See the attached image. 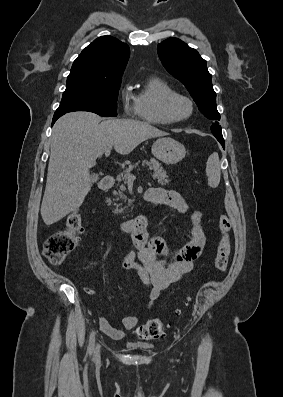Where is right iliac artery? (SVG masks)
I'll use <instances>...</instances> for the list:
<instances>
[{"mask_svg": "<svg viewBox=\"0 0 283 397\" xmlns=\"http://www.w3.org/2000/svg\"><path fill=\"white\" fill-rule=\"evenodd\" d=\"M94 346H95V332L92 331L89 339V346H88V352L89 354H92L94 351Z\"/></svg>", "mask_w": 283, "mask_h": 397, "instance_id": "1", "label": "right iliac artery"}]
</instances>
